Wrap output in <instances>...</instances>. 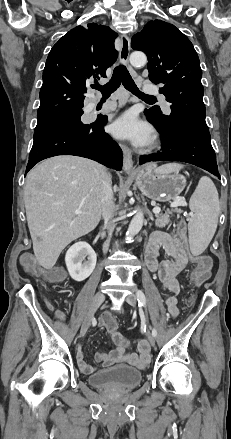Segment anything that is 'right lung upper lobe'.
Here are the masks:
<instances>
[{"label": "right lung upper lobe", "instance_id": "cb5924a9", "mask_svg": "<svg viewBox=\"0 0 231 439\" xmlns=\"http://www.w3.org/2000/svg\"><path fill=\"white\" fill-rule=\"evenodd\" d=\"M115 38L116 33L109 27L90 23L59 39L43 71L38 119L83 107L86 81L106 77V69L117 59Z\"/></svg>", "mask_w": 231, "mask_h": 439}]
</instances>
